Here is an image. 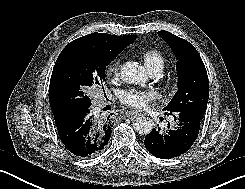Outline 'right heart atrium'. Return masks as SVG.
<instances>
[{"instance_id": "1", "label": "right heart atrium", "mask_w": 245, "mask_h": 189, "mask_svg": "<svg viewBox=\"0 0 245 189\" xmlns=\"http://www.w3.org/2000/svg\"><path fill=\"white\" fill-rule=\"evenodd\" d=\"M106 73L117 77L120 73V59H113L106 67Z\"/></svg>"}]
</instances>
